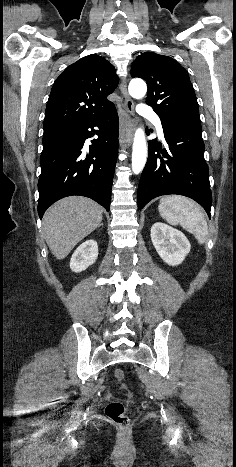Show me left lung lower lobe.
<instances>
[{
	"label": "left lung lower lobe",
	"instance_id": "obj_1",
	"mask_svg": "<svg viewBox=\"0 0 236 467\" xmlns=\"http://www.w3.org/2000/svg\"><path fill=\"white\" fill-rule=\"evenodd\" d=\"M161 124L167 145L162 148L155 139L149 141L148 159L138 186L139 209L155 197L179 194L198 202L210 217L212 194L201 122L161 120Z\"/></svg>",
	"mask_w": 236,
	"mask_h": 467
}]
</instances>
